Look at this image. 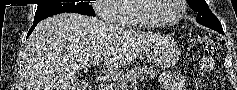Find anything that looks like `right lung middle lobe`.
<instances>
[{"label":"right lung middle lobe","mask_w":237,"mask_h":90,"mask_svg":"<svg viewBox=\"0 0 237 90\" xmlns=\"http://www.w3.org/2000/svg\"><path fill=\"white\" fill-rule=\"evenodd\" d=\"M73 12L87 16H95V11L88 2L79 3H59V4H39L35 13L34 21H41L49 16Z\"/></svg>","instance_id":"obj_1"}]
</instances>
